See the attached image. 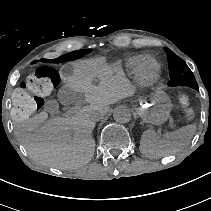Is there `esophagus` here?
Returning <instances> with one entry per match:
<instances>
[{
    "instance_id": "obj_1",
    "label": "esophagus",
    "mask_w": 211,
    "mask_h": 211,
    "mask_svg": "<svg viewBox=\"0 0 211 211\" xmlns=\"http://www.w3.org/2000/svg\"><path fill=\"white\" fill-rule=\"evenodd\" d=\"M127 107L130 110H140L142 109L143 104L140 101H130L128 102Z\"/></svg>"
}]
</instances>
